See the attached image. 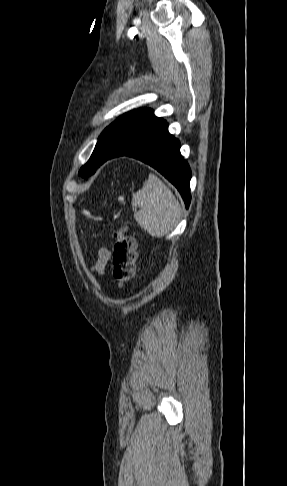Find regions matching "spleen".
I'll return each mask as SVG.
<instances>
[{"label": "spleen", "mask_w": 287, "mask_h": 486, "mask_svg": "<svg viewBox=\"0 0 287 486\" xmlns=\"http://www.w3.org/2000/svg\"><path fill=\"white\" fill-rule=\"evenodd\" d=\"M132 206L139 207L134 218L153 237L167 235L181 217V205L171 190L154 174L132 196Z\"/></svg>", "instance_id": "spleen-1"}]
</instances>
